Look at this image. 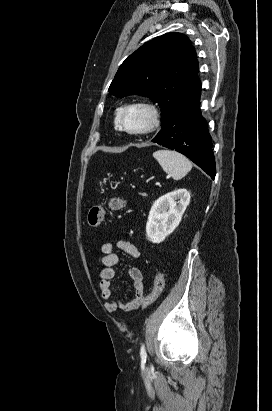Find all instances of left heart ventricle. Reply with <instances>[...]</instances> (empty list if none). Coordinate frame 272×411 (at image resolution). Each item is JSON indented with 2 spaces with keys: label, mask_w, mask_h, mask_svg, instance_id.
<instances>
[{
  "label": "left heart ventricle",
  "mask_w": 272,
  "mask_h": 411,
  "mask_svg": "<svg viewBox=\"0 0 272 411\" xmlns=\"http://www.w3.org/2000/svg\"><path fill=\"white\" fill-rule=\"evenodd\" d=\"M148 122V114L142 109H131L124 115V123L127 128L137 130Z\"/></svg>",
  "instance_id": "left-heart-ventricle-1"
}]
</instances>
